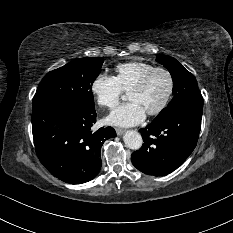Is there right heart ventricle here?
<instances>
[{
  "label": "right heart ventricle",
  "instance_id": "right-heart-ventricle-1",
  "mask_svg": "<svg viewBox=\"0 0 233 233\" xmlns=\"http://www.w3.org/2000/svg\"><path fill=\"white\" fill-rule=\"evenodd\" d=\"M156 68L143 61H130L119 64L114 69V78L121 90L129 91L145 74Z\"/></svg>",
  "mask_w": 233,
  "mask_h": 233
}]
</instances>
